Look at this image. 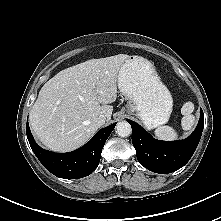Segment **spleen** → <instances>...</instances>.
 Returning <instances> with one entry per match:
<instances>
[{
	"label": "spleen",
	"instance_id": "obj_1",
	"mask_svg": "<svg viewBox=\"0 0 221 221\" xmlns=\"http://www.w3.org/2000/svg\"><path fill=\"white\" fill-rule=\"evenodd\" d=\"M193 110H194V104L192 102H186L181 109V113L183 115L181 120V125L183 130L187 131L185 134H188V132L194 126L195 117L194 115H192ZM154 133L158 139L165 141H172L177 139L178 137L177 132L170 126L158 127L154 131Z\"/></svg>",
	"mask_w": 221,
	"mask_h": 221
}]
</instances>
